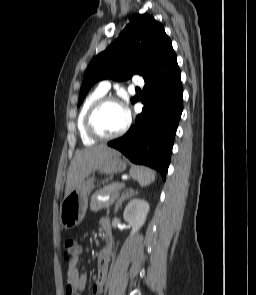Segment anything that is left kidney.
I'll return each mask as SVG.
<instances>
[{"instance_id": "5707ae66", "label": "left kidney", "mask_w": 256, "mask_h": 295, "mask_svg": "<svg viewBox=\"0 0 256 295\" xmlns=\"http://www.w3.org/2000/svg\"><path fill=\"white\" fill-rule=\"evenodd\" d=\"M149 212V204L142 199H132L124 209L123 218L132 226L133 236L145 223Z\"/></svg>"}]
</instances>
